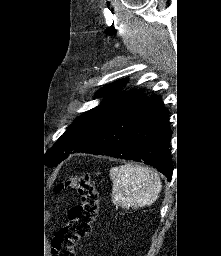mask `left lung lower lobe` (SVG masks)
<instances>
[{
  "instance_id": "0a47b994",
  "label": "left lung lower lobe",
  "mask_w": 221,
  "mask_h": 256,
  "mask_svg": "<svg viewBox=\"0 0 221 256\" xmlns=\"http://www.w3.org/2000/svg\"><path fill=\"white\" fill-rule=\"evenodd\" d=\"M168 111L160 96L146 98L129 113L109 121L72 153H90L143 162L171 180Z\"/></svg>"
}]
</instances>
